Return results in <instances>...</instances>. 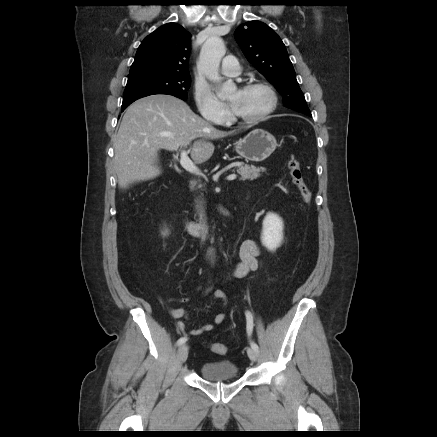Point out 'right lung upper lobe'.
Masks as SVG:
<instances>
[{
  "instance_id": "right-lung-upper-lobe-1",
  "label": "right lung upper lobe",
  "mask_w": 437,
  "mask_h": 437,
  "mask_svg": "<svg viewBox=\"0 0 437 437\" xmlns=\"http://www.w3.org/2000/svg\"><path fill=\"white\" fill-rule=\"evenodd\" d=\"M190 42L191 35L182 26L165 24L142 41L130 72L148 70L189 75Z\"/></svg>"
}]
</instances>
